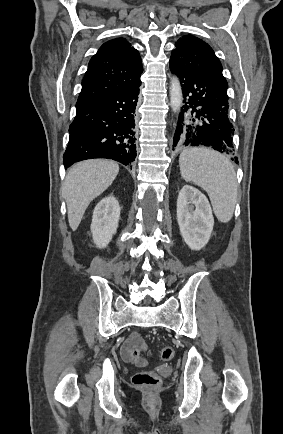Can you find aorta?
<instances>
[{
  "label": "aorta",
  "mask_w": 283,
  "mask_h": 434,
  "mask_svg": "<svg viewBox=\"0 0 283 434\" xmlns=\"http://www.w3.org/2000/svg\"><path fill=\"white\" fill-rule=\"evenodd\" d=\"M182 105V89L180 81L176 76H173L170 81V106L173 112L180 110Z\"/></svg>",
  "instance_id": "obj_1"
}]
</instances>
